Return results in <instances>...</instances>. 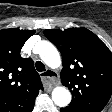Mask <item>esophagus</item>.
I'll list each match as a JSON object with an SVG mask.
<instances>
[{
    "mask_svg": "<svg viewBox=\"0 0 112 112\" xmlns=\"http://www.w3.org/2000/svg\"><path fill=\"white\" fill-rule=\"evenodd\" d=\"M57 76L58 75L55 71L48 69L47 71L41 74V80L45 86L51 89L58 82Z\"/></svg>",
    "mask_w": 112,
    "mask_h": 112,
    "instance_id": "34e87169",
    "label": "esophagus"
}]
</instances>
